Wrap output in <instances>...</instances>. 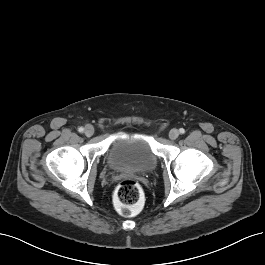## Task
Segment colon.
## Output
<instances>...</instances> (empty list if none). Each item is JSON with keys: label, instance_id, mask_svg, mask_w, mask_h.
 <instances>
[{"label": "colon", "instance_id": "colon-1", "mask_svg": "<svg viewBox=\"0 0 265 265\" xmlns=\"http://www.w3.org/2000/svg\"><path fill=\"white\" fill-rule=\"evenodd\" d=\"M143 197L140 185L130 179L121 181L115 190V202L123 215L132 214Z\"/></svg>", "mask_w": 265, "mask_h": 265}]
</instances>
